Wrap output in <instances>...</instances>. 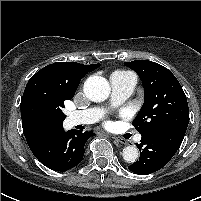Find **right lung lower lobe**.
<instances>
[{
	"mask_svg": "<svg viewBox=\"0 0 201 201\" xmlns=\"http://www.w3.org/2000/svg\"><path fill=\"white\" fill-rule=\"evenodd\" d=\"M91 132L59 130L29 145L34 156L46 167L66 171L78 165L84 155V145Z\"/></svg>",
	"mask_w": 201,
	"mask_h": 201,
	"instance_id": "right-lung-lower-lobe-1",
	"label": "right lung lower lobe"
}]
</instances>
